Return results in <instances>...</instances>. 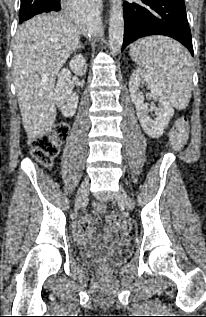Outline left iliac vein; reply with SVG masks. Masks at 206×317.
<instances>
[{"mask_svg": "<svg viewBox=\"0 0 206 317\" xmlns=\"http://www.w3.org/2000/svg\"><path fill=\"white\" fill-rule=\"evenodd\" d=\"M116 200L121 205H123L127 210L129 211L133 210V207H134L133 200L123 187L119 188L116 194Z\"/></svg>", "mask_w": 206, "mask_h": 317, "instance_id": "obj_1", "label": "left iliac vein"}]
</instances>
